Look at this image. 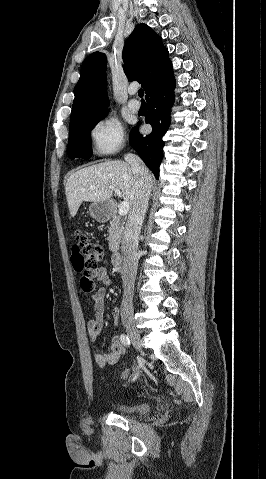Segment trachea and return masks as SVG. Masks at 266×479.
Instances as JSON below:
<instances>
[{
  "label": "trachea",
  "mask_w": 266,
  "mask_h": 479,
  "mask_svg": "<svg viewBox=\"0 0 266 479\" xmlns=\"http://www.w3.org/2000/svg\"><path fill=\"white\" fill-rule=\"evenodd\" d=\"M138 95H139L140 98H142V97L144 96V91H143V89H139V90H138Z\"/></svg>",
  "instance_id": "trachea-1"
}]
</instances>
